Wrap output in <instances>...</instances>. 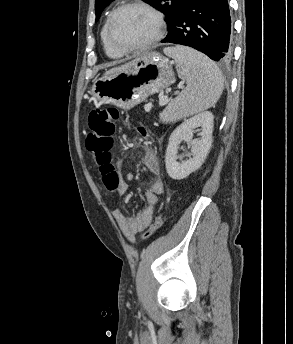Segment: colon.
I'll list each match as a JSON object with an SVG mask.
<instances>
[{
    "label": "colon",
    "instance_id": "colon-1",
    "mask_svg": "<svg viewBox=\"0 0 293 344\" xmlns=\"http://www.w3.org/2000/svg\"><path fill=\"white\" fill-rule=\"evenodd\" d=\"M118 120L119 112L115 108H95L88 114L90 133L86 139V147L89 151L95 153L100 167L111 165L110 151L114 144V133ZM137 131L141 137H148V132L144 127H139ZM106 186L109 189H116V185L113 183L106 184ZM162 224L161 215H157L144 237L155 233L161 228Z\"/></svg>",
    "mask_w": 293,
    "mask_h": 344
}]
</instances>
